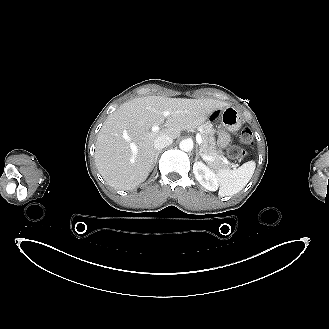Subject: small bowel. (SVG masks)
Returning a JSON list of instances; mask_svg holds the SVG:
<instances>
[{"label":"small bowel","mask_w":329,"mask_h":329,"mask_svg":"<svg viewBox=\"0 0 329 329\" xmlns=\"http://www.w3.org/2000/svg\"><path fill=\"white\" fill-rule=\"evenodd\" d=\"M221 139H222V143L225 144L226 143V136L222 135Z\"/></svg>","instance_id":"obj_1"}]
</instances>
